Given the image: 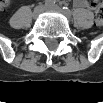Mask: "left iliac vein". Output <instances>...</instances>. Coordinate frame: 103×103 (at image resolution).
I'll use <instances>...</instances> for the list:
<instances>
[{
	"mask_svg": "<svg viewBox=\"0 0 103 103\" xmlns=\"http://www.w3.org/2000/svg\"><path fill=\"white\" fill-rule=\"evenodd\" d=\"M46 10L64 13V11H63L59 6H57V5L47 6V7H46Z\"/></svg>",
	"mask_w": 103,
	"mask_h": 103,
	"instance_id": "1",
	"label": "left iliac vein"
}]
</instances>
